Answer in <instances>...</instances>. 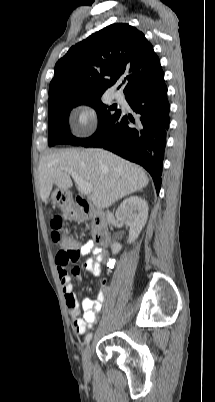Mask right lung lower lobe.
<instances>
[{
	"instance_id": "98d812e1",
	"label": "right lung lower lobe",
	"mask_w": 215,
	"mask_h": 402,
	"mask_svg": "<svg viewBox=\"0 0 215 402\" xmlns=\"http://www.w3.org/2000/svg\"><path fill=\"white\" fill-rule=\"evenodd\" d=\"M126 100L138 116L120 113L101 131L83 139L84 147H102L140 164L152 176L157 193L161 186L166 132L170 105L165 81L155 87L138 89Z\"/></svg>"
}]
</instances>
